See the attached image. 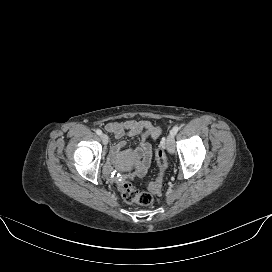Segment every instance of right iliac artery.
I'll use <instances>...</instances> for the list:
<instances>
[{"instance_id": "82829eb1", "label": "right iliac artery", "mask_w": 272, "mask_h": 272, "mask_svg": "<svg viewBox=\"0 0 272 272\" xmlns=\"http://www.w3.org/2000/svg\"><path fill=\"white\" fill-rule=\"evenodd\" d=\"M96 134L101 135V134H102V131H101L100 129H97V130H96Z\"/></svg>"}]
</instances>
